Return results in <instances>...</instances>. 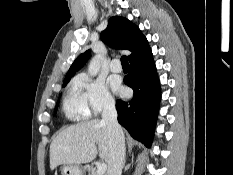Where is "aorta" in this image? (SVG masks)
Segmentation results:
<instances>
[{
  "label": "aorta",
  "mask_w": 233,
  "mask_h": 175,
  "mask_svg": "<svg viewBox=\"0 0 233 175\" xmlns=\"http://www.w3.org/2000/svg\"><path fill=\"white\" fill-rule=\"evenodd\" d=\"M101 60H102V56L96 55L90 61L89 66H88V73L91 76H96L97 73L99 72Z\"/></svg>",
  "instance_id": "762f6f07"
}]
</instances>
